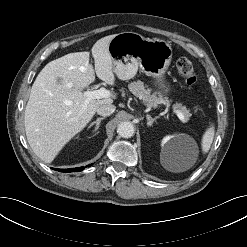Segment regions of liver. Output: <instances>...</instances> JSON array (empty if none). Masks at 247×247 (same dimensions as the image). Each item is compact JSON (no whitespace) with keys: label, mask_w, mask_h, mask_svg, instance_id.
<instances>
[{"label":"liver","mask_w":247,"mask_h":247,"mask_svg":"<svg viewBox=\"0 0 247 247\" xmlns=\"http://www.w3.org/2000/svg\"><path fill=\"white\" fill-rule=\"evenodd\" d=\"M114 36L99 39L91 49L97 77L110 85L115 84V76L108 47ZM89 55L86 51L69 53L49 62L32 85L25 131L30 147L46 163L86 127L100 105L113 103L112 98H103L85 104L83 90L95 80Z\"/></svg>","instance_id":"liver-1"}]
</instances>
